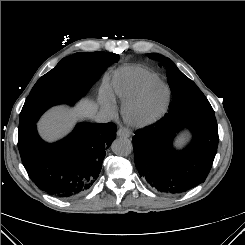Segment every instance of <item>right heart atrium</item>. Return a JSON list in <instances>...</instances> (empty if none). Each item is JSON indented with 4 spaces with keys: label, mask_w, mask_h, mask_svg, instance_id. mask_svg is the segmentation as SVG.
<instances>
[{
    "label": "right heart atrium",
    "mask_w": 245,
    "mask_h": 245,
    "mask_svg": "<svg viewBox=\"0 0 245 245\" xmlns=\"http://www.w3.org/2000/svg\"><path fill=\"white\" fill-rule=\"evenodd\" d=\"M103 108L109 112V113H114L115 112V104L112 98L109 95H104L101 100Z\"/></svg>",
    "instance_id": "right-heart-atrium-1"
}]
</instances>
